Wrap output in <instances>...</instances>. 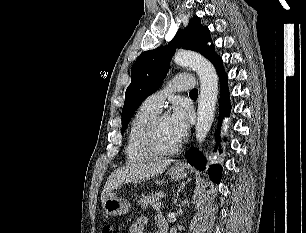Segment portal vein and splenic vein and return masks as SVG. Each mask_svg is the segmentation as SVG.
<instances>
[{"label": "portal vein and splenic vein", "mask_w": 306, "mask_h": 233, "mask_svg": "<svg viewBox=\"0 0 306 233\" xmlns=\"http://www.w3.org/2000/svg\"><path fill=\"white\" fill-rule=\"evenodd\" d=\"M162 205H163V204H162L161 202H156V203L153 204L152 206H153L154 209H160Z\"/></svg>", "instance_id": "portal-vein-and-splenic-vein-1"}]
</instances>
